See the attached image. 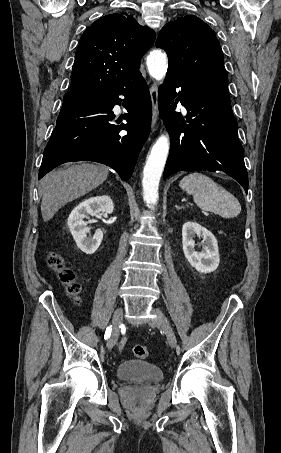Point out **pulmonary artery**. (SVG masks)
Instances as JSON below:
<instances>
[{"label": "pulmonary artery", "instance_id": "e3ab8cb5", "mask_svg": "<svg viewBox=\"0 0 281 453\" xmlns=\"http://www.w3.org/2000/svg\"><path fill=\"white\" fill-rule=\"evenodd\" d=\"M114 110H115V111H118V110H119V105H118V104H115V105H114Z\"/></svg>", "mask_w": 281, "mask_h": 453}]
</instances>
